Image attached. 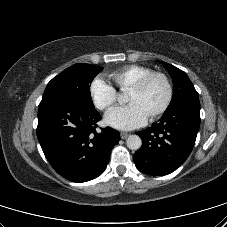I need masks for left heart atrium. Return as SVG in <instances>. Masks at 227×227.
Returning <instances> with one entry per match:
<instances>
[{"instance_id": "left-heart-atrium-1", "label": "left heart atrium", "mask_w": 227, "mask_h": 227, "mask_svg": "<svg viewBox=\"0 0 227 227\" xmlns=\"http://www.w3.org/2000/svg\"><path fill=\"white\" fill-rule=\"evenodd\" d=\"M147 117V114L139 105L130 103L110 110L106 114L105 120L107 124L114 128L132 130L144 125Z\"/></svg>"}]
</instances>
